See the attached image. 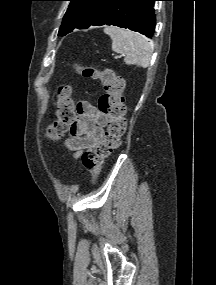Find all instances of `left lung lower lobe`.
<instances>
[{
  "mask_svg": "<svg viewBox=\"0 0 216 285\" xmlns=\"http://www.w3.org/2000/svg\"><path fill=\"white\" fill-rule=\"evenodd\" d=\"M155 1L158 0H113L90 26L114 25L150 38L156 23L153 9Z\"/></svg>",
  "mask_w": 216,
  "mask_h": 285,
  "instance_id": "obj_1",
  "label": "left lung lower lobe"
}]
</instances>
